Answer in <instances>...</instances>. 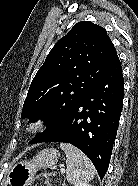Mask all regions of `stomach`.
I'll list each match as a JSON object with an SVG mask.
<instances>
[{
	"mask_svg": "<svg viewBox=\"0 0 138 186\" xmlns=\"http://www.w3.org/2000/svg\"><path fill=\"white\" fill-rule=\"evenodd\" d=\"M60 153L56 149H43L30 161L14 164L7 174L5 186H29L39 169L56 165Z\"/></svg>",
	"mask_w": 138,
	"mask_h": 186,
	"instance_id": "0dacf381",
	"label": "stomach"
}]
</instances>
